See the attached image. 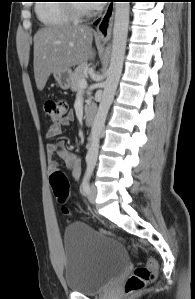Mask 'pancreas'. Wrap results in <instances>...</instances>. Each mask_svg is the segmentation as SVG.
Returning a JSON list of instances; mask_svg holds the SVG:
<instances>
[{
    "instance_id": "obj_1",
    "label": "pancreas",
    "mask_w": 195,
    "mask_h": 299,
    "mask_svg": "<svg viewBox=\"0 0 195 299\" xmlns=\"http://www.w3.org/2000/svg\"><path fill=\"white\" fill-rule=\"evenodd\" d=\"M88 64L86 62L80 64L72 74L71 80V90L77 91L79 89V81L86 77V71L88 69ZM91 98L88 99V103H90Z\"/></svg>"
}]
</instances>
